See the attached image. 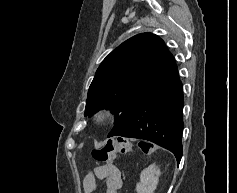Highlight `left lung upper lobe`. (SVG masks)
I'll return each mask as SVG.
<instances>
[{
    "mask_svg": "<svg viewBox=\"0 0 237 193\" xmlns=\"http://www.w3.org/2000/svg\"><path fill=\"white\" fill-rule=\"evenodd\" d=\"M173 60L157 35L142 33L126 40L99 66L88 90L85 116L112 109L115 125L108 137L117 136L130 122L147 89Z\"/></svg>",
    "mask_w": 237,
    "mask_h": 193,
    "instance_id": "left-lung-upper-lobe-1",
    "label": "left lung upper lobe"
}]
</instances>
